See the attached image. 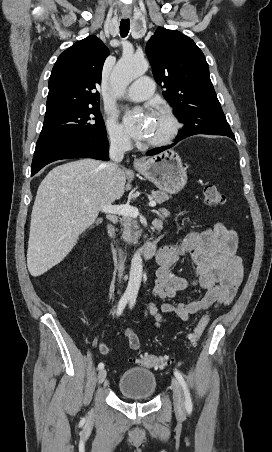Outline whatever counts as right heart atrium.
<instances>
[{"label":"right heart atrium","instance_id":"right-heart-atrium-1","mask_svg":"<svg viewBox=\"0 0 272 452\" xmlns=\"http://www.w3.org/2000/svg\"><path fill=\"white\" fill-rule=\"evenodd\" d=\"M106 131L110 142L118 147L126 148L130 144V138L126 130L114 118L105 121Z\"/></svg>","mask_w":272,"mask_h":452}]
</instances>
